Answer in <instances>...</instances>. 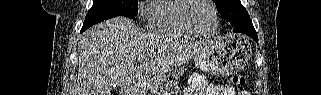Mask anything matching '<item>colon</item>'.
<instances>
[{
  "mask_svg": "<svg viewBox=\"0 0 321 95\" xmlns=\"http://www.w3.org/2000/svg\"><path fill=\"white\" fill-rule=\"evenodd\" d=\"M231 83L234 86H243L245 84V78L240 74H235L231 77Z\"/></svg>",
  "mask_w": 321,
  "mask_h": 95,
  "instance_id": "obj_1",
  "label": "colon"
}]
</instances>
